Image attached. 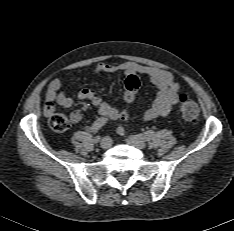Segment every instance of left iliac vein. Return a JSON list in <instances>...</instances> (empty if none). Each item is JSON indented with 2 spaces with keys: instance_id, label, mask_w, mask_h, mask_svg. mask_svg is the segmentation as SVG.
Wrapping results in <instances>:
<instances>
[{
  "instance_id": "4c4485c4",
  "label": "left iliac vein",
  "mask_w": 234,
  "mask_h": 231,
  "mask_svg": "<svg viewBox=\"0 0 234 231\" xmlns=\"http://www.w3.org/2000/svg\"><path fill=\"white\" fill-rule=\"evenodd\" d=\"M126 142L135 146L136 148L139 149H145L146 148V143L142 140L139 139H134V138H126Z\"/></svg>"
}]
</instances>
